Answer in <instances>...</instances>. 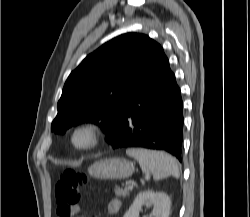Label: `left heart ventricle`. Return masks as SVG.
<instances>
[{"label":"left heart ventricle","mask_w":250,"mask_h":217,"mask_svg":"<svg viewBox=\"0 0 250 217\" xmlns=\"http://www.w3.org/2000/svg\"><path fill=\"white\" fill-rule=\"evenodd\" d=\"M79 141L82 142V141H83V138H80Z\"/></svg>","instance_id":"1"}]
</instances>
